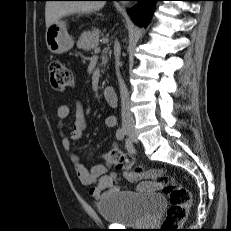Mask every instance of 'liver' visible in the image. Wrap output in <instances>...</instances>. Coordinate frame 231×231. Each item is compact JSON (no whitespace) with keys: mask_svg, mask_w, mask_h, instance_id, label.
Returning <instances> with one entry per match:
<instances>
[{"mask_svg":"<svg viewBox=\"0 0 231 231\" xmlns=\"http://www.w3.org/2000/svg\"><path fill=\"white\" fill-rule=\"evenodd\" d=\"M104 5V1H48L45 6L46 28L67 15L93 13Z\"/></svg>","mask_w":231,"mask_h":231,"instance_id":"obj_1","label":"liver"}]
</instances>
